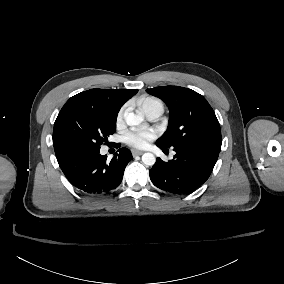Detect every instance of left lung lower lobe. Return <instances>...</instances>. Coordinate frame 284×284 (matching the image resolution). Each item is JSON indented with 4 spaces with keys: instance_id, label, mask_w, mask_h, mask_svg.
<instances>
[{
    "instance_id": "1",
    "label": "left lung lower lobe",
    "mask_w": 284,
    "mask_h": 284,
    "mask_svg": "<svg viewBox=\"0 0 284 284\" xmlns=\"http://www.w3.org/2000/svg\"><path fill=\"white\" fill-rule=\"evenodd\" d=\"M160 148L167 146L156 142ZM176 154L168 162L157 158L149 170L150 179L159 189L173 194H190L210 176L218 154L195 146H173Z\"/></svg>"
}]
</instances>
